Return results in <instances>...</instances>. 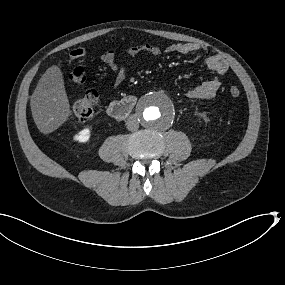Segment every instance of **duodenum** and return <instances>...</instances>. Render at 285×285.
<instances>
[{
    "label": "duodenum",
    "mask_w": 285,
    "mask_h": 285,
    "mask_svg": "<svg viewBox=\"0 0 285 285\" xmlns=\"http://www.w3.org/2000/svg\"><path fill=\"white\" fill-rule=\"evenodd\" d=\"M135 104L136 98L127 96L121 100L111 102L107 108V113L114 119H125L131 114Z\"/></svg>",
    "instance_id": "obj_1"
}]
</instances>
